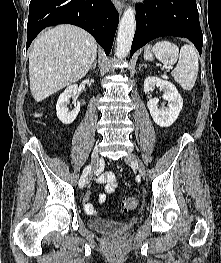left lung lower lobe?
<instances>
[{"instance_id": "1", "label": "left lung lower lobe", "mask_w": 221, "mask_h": 263, "mask_svg": "<svg viewBox=\"0 0 221 263\" xmlns=\"http://www.w3.org/2000/svg\"><path fill=\"white\" fill-rule=\"evenodd\" d=\"M136 32L130 57L149 41L161 36L188 38L201 55L203 34L195 0H147L137 4Z\"/></svg>"}]
</instances>
